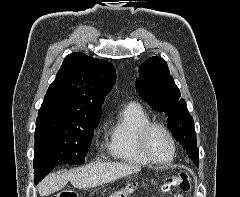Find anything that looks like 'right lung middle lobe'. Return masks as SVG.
Wrapping results in <instances>:
<instances>
[{"label": "right lung middle lobe", "mask_w": 240, "mask_h": 197, "mask_svg": "<svg viewBox=\"0 0 240 197\" xmlns=\"http://www.w3.org/2000/svg\"><path fill=\"white\" fill-rule=\"evenodd\" d=\"M99 120L100 117L38 116L34 144L35 183L57 165L83 164Z\"/></svg>", "instance_id": "1"}]
</instances>
